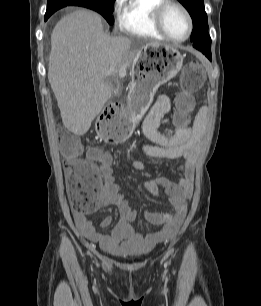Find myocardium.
<instances>
[{
  "label": "myocardium",
  "mask_w": 261,
  "mask_h": 306,
  "mask_svg": "<svg viewBox=\"0 0 261 306\" xmlns=\"http://www.w3.org/2000/svg\"><path fill=\"white\" fill-rule=\"evenodd\" d=\"M169 7H176L178 8L180 11H182V13L184 14L186 20H187V33L185 35V37L181 38V39H175L173 37H171L169 35V33L167 32L164 24H163V15L166 11L167 8ZM153 23L156 27V29L159 31V33L168 41L173 42V43H182L185 42L192 34L193 31V21H192V17L188 11V9L180 2L176 1V0H163V2L161 4H159L154 12H153Z\"/></svg>",
  "instance_id": "myocardium-1"
}]
</instances>
